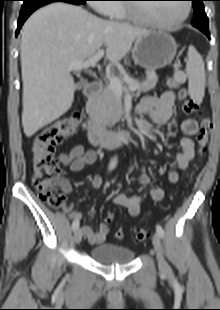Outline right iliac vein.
<instances>
[{
	"label": "right iliac vein",
	"instance_id": "63e3f726",
	"mask_svg": "<svg viewBox=\"0 0 220 310\" xmlns=\"http://www.w3.org/2000/svg\"><path fill=\"white\" fill-rule=\"evenodd\" d=\"M82 236H83L82 230L80 228L77 229L74 233V240L76 244H79L81 242Z\"/></svg>",
	"mask_w": 220,
	"mask_h": 310
}]
</instances>
